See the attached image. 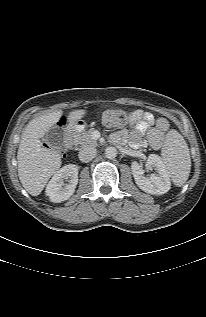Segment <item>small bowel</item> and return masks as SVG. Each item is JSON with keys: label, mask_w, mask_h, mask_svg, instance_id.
Listing matches in <instances>:
<instances>
[{"label": "small bowel", "mask_w": 206, "mask_h": 317, "mask_svg": "<svg viewBox=\"0 0 206 317\" xmlns=\"http://www.w3.org/2000/svg\"><path fill=\"white\" fill-rule=\"evenodd\" d=\"M131 120L135 123L134 129L130 132L122 131L115 134V139L129 140L131 146L137 149L148 144L154 149L161 147L164 135L169 129V123L165 118H155L149 112L136 110L131 114Z\"/></svg>", "instance_id": "1"}]
</instances>
